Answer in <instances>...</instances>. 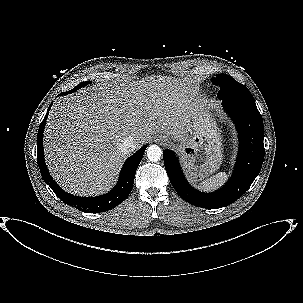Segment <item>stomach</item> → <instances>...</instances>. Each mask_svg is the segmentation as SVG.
Wrapping results in <instances>:
<instances>
[{
	"label": "stomach",
	"mask_w": 303,
	"mask_h": 303,
	"mask_svg": "<svg viewBox=\"0 0 303 303\" xmlns=\"http://www.w3.org/2000/svg\"><path fill=\"white\" fill-rule=\"evenodd\" d=\"M160 134V137H168V134ZM184 137L176 149L189 177L197 180L214 173L223 160L221 136L213 118L203 107L193 117Z\"/></svg>",
	"instance_id": "obj_1"
}]
</instances>
